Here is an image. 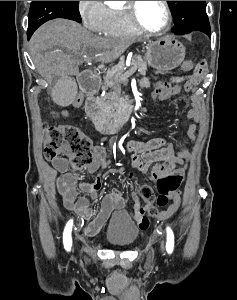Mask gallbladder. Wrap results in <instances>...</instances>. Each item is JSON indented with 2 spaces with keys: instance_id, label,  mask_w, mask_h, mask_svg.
<instances>
[{
  "instance_id": "bac80fb5",
  "label": "gallbladder",
  "mask_w": 237,
  "mask_h": 300,
  "mask_svg": "<svg viewBox=\"0 0 237 300\" xmlns=\"http://www.w3.org/2000/svg\"><path fill=\"white\" fill-rule=\"evenodd\" d=\"M60 82H56V87H51V98L55 105H73L77 87L74 84V76H60Z\"/></svg>"
}]
</instances>
